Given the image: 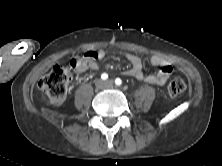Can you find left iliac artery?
Returning <instances> with one entry per match:
<instances>
[{
    "label": "left iliac artery",
    "instance_id": "left-iliac-artery-1",
    "mask_svg": "<svg viewBox=\"0 0 222 166\" xmlns=\"http://www.w3.org/2000/svg\"><path fill=\"white\" fill-rule=\"evenodd\" d=\"M115 84L118 85V86L121 85L122 84V80L120 78H116L115 79Z\"/></svg>",
    "mask_w": 222,
    "mask_h": 166
}]
</instances>
